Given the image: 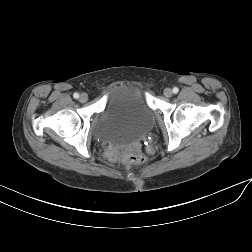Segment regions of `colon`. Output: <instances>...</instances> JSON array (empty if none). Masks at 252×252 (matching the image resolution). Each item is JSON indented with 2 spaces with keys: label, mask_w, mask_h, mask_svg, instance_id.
Returning <instances> with one entry per match:
<instances>
[{
  "label": "colon",
  "mask_w": 252,
  "mask_h": 252,
  "mask_svg": "<svg viewBox=\"0 0 252 252\" xmlns=\"http://www.w3.org/2000/svg\"><path fill=\"white\" fill-rule=\"evenodd\" d=\"M124 162L128 164H141L144 162V157L139 152H128L123 155Z\"/></svg>",
  "instance_id": "5ec220e1"
}]
</instances>
